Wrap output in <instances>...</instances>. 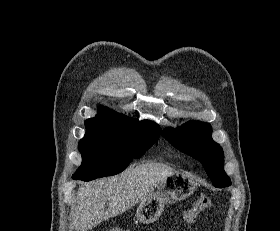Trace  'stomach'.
I'll return each instance as SVG.
<instances>
[{"label": "stomach", "mask_w": 280, "mask_h": 231, "mask_svg": "<svg viewBox=\"0 0 280 231\" xmlns=\"http://www.w3.org/2000/svg\"><path fill=\"white\" fill-rule=\"evenodd\" d=\"M197 181L189 171H174L158 183L157 191H151L146 199H142L136 211V217L141 223H153L159 219L167 201L186 199L194 193Z\"/></svg>", "instance_id": "stomach-1"}]
</instances>
